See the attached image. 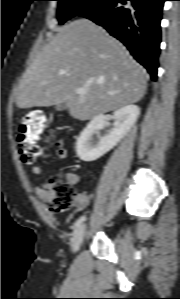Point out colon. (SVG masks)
I'll list each match as a JSON object with an SVG mask.
<instances>
[{
	"mask_svg": "<svg viewBox=\"0 0 180 299\" xmlns=\"http://www.w3.org/2000/svg\"><path fill=\"white\" fill-rule=\"evenodd\" d=\"M47 121L46 113L40 109H31L21 118L17 147L23 162L32 164L39 158L41 148L37 140L44 132ZM75 201L70 184L66 181H56L50 185L44 202L51 211L61 212L71 208Z\"/></svg>",
	"mask_w": 180,
	"mask_h": 299,
	"instance_id": "colon-1",
	"label": "colon"
}]
</instances>
